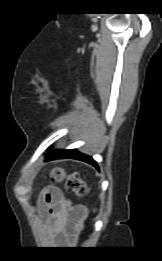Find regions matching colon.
<instances>
[{"instance_id":"colon-1","label":"colon","mask_w":162,"mask_h":261,"mask_svg":"<svg viewBox=\"0 0 162 261\" xmlns=\"http://www.w3.org/2000/svg\"><path fill=\"white\" fill-rule=\"evenodd\" d=\"M51 176L56 182H64L65 189L69 193L77 196H83L86 193V185L76 173L66 175L63 169L55 168L52 170Z\"/></svg>"}]
</instances>
